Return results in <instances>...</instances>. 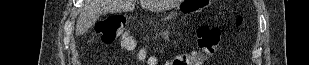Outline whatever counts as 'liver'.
<instances>
[{
    "label": "liver",
    "instance_id": "liver-1",
    "mask_svg": "<svg viewBox=\"0 0 309 65\" xmlns=\"http://www.w3.org/2000/svg\"><path fill=\"white\" fill-rule=\"evenodd\" d=\"M136 0H84L76 22V35L86 33L101 15L120 11H131ZM141 6L150 11H161L169 7L167 0H140Z\"/></svg>",
    "mask_w": 309,
    "mask_h": 65
}]
</instances>
